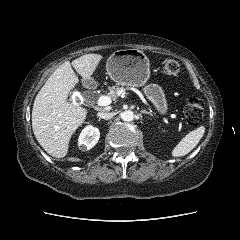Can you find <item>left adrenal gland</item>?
<instances>
[{
	"label": "left adrenal gland",
	"instance_id": "obj_1",
	"mask_svg": "<svg viewBox=\"0 0 240 240\" xmlns=\"http://www.w3.org/2000/svg\"><path fill=\"white\" fill-rule=\"evenodd\" d=\"M141 113H144V114H148V115H150V116H153V114H152L151 112H148V111H146V110H141Z\"/></svg>",
	"mask_w": 240,
	"mask_h": 240
}]
</instances>
